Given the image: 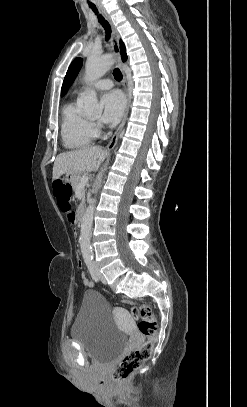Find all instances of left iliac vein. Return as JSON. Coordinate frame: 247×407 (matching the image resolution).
I'll return each instance as SVG.
<instances>
[{
  "label": "left iliac vein",
  "instance_id": "4c4485c4",
  "mask_svg": "<svg viewBox=\"0 0 247 407\" xmlns=\"http://www.w3.org/2000/svg\"><path fill=\"white\" fill-rule=\"evenodd\" d=\"M93 266H94V268H95V270H96V272H97V275H98L100 281H101L102 283H106V279H105V277L103 276V274L99 271V267H98V265H97L96 262H93Z\"/></svg>",
  "mask_w": 247,
  "mask_h": 407
}]
</instances>
